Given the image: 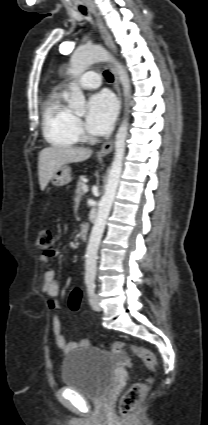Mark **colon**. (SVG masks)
Returning <instances> with one entry per match:
<instances>
[{
  "label": "colon",
  "mask_w": 208,
  "mask_h": 425,
  "mask_svg": "<svg viewBox=\"0 0 208 425\" xmlns=\"http://www.w3.org/2000/svg\"><path fill=\"white\" fill-rule=\"evenodd\" d=\"M36 247L43 254L52 255L54 250V237L49 230L39 232L36 240ZM82 290L79 287H74L70 291L68 305L69 308L77 312L81 308ZM113 353H123L129 351L143 361L150 375L142 382L133 384L123 394L119 403V412L123 417H130L137 406L140 404L146 393L149 391L153 375L157 370V360L155 355L148 349L124 342H113L109 346Z\"/></svg>",
  "instance_id": "1"
}]
</instances>
